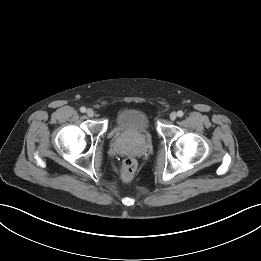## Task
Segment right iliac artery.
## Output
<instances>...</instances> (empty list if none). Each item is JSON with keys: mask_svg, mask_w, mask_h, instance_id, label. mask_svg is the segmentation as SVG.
<instances>
[{"mask_svg": "<svg viewBox=\"0 0 261 261\" xmlns=\"http://www.w3.org/2000/svg\"><path fill=\"white\" fill-rule=\"evenodd\" d=\"M80 111H81L82 113H85V112H86V108H85V107H81V108H80Z\"/></svg>", "mask_w": 261, "mask_h": 261, "instance_id": "right-iliac-artery-1", "label": "right iliac artery"}]
</instances>
